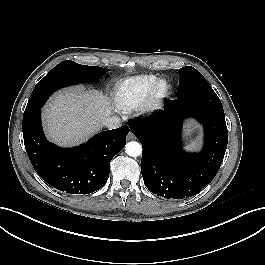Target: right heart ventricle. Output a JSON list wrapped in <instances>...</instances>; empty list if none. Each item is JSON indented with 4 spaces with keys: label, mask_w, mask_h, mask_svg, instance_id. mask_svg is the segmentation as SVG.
Returning <instances> with one entry per match:
<instances>
[{
    "label": "right heart ventricle",
    "mask_w": 265,
    "mask_h": 265,
    "mask_svg": "<svg viewBox=\"0 0 265 265\" xmlns=\"http://www.w3.org/2000/svg\"><path fill=\"white\" fill-rule=\"evenodd\" d=\"M157 80L155 75H140L121 81L114 90L113 101L116 108L123 112L137 109Z\"/></svg>",
    "instance_id": "1"
}]
</instances>
